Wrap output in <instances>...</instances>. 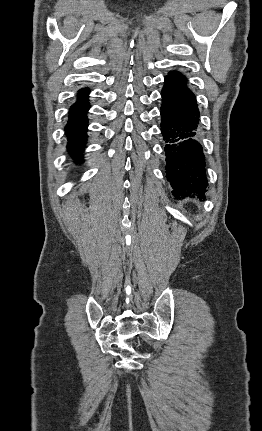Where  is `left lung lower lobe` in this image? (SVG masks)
Masks as SVG:
<instances>
[{
  "mask_svg": "<svg viewBox=\"0 0 262 431\" xmlns=\"http://www.w3.org/2000/svg\"><path fill=\"white\" fill-rule=\"evenodd\" d=\"M161 96V131L166 142V175L172 194L201 197L208 182L195 95L185 84L166 77Z\"/></svg>",
  "mask_w": 262,
  "mask_h": 431,
  "instance_id": "left-lung-lower-lobe-1",
  "label": "left lung lower lobe"
}]
</instances>
